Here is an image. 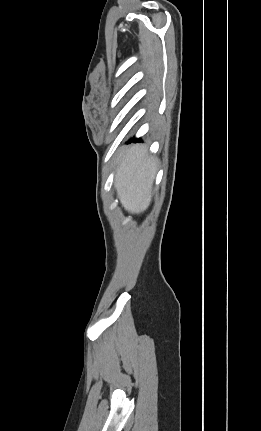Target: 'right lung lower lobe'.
I'll list each match as a JSON object with an SVG mask.
<instances>
[{
    "label": "right lung lower lobe",
    "instance_id": "98d812e1",
    "mask_svg": "<svg viewBox=\"0 0 261 431\" xmlns=\"http://www.w3.org/2000/svg\"><path fill=\"white\" fill-rule=\"evenodd\" d=\"M131 141H137V140L133 138V139H131ZM138 141H139V139H138Z\"/></svg>",
    "mask_w": 261,
    "mask_h": 431
}]
</instances>
